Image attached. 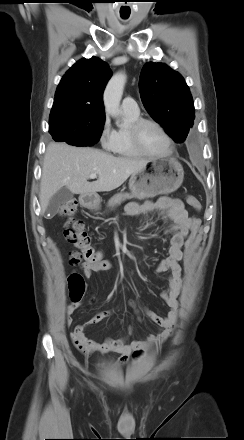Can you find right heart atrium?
Listing matches in <instances>:
<instances>
[{"instance_id":"1","label":"right heart atrium","mask_w":244,"mask_h":440,"mask_svg":"<svg viewBox=\"0 0 244 440\" xmlns=\"http://www.w3.org/2000/svg\"><path fill=\"white\" fill-rule=\"evenodd\" d=\"M114 140V129L108 118H105L100 130L99 141L104 149L110 150Z\"/></svg>"}]
</instances>
